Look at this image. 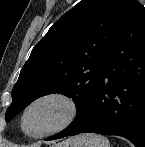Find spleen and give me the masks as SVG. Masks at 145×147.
I'll list each match as a JSON object with an SVG mask.
<instances>
[{
  "label": "spleen",
  "instance_id": "obj_1",
  "mask_svg": "<svg viewBox=\"0 0 145 147\" xmlns=\"http://www.w3.org/2000/svg\"><path fill=\"white\" fill-rule=\"evenodd\" d=\"M71 147H110L109 140L97 134H82L76 137Z\"/></svg>",
  "mask_w": 145,
  "mask_h": 147
}]
</instances>
